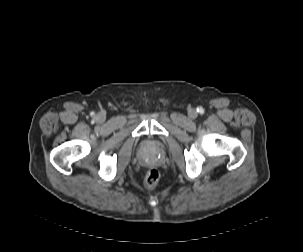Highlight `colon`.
<instances>
[{
  "label": "colon",
  "mask_w": 303,
  "mask_h": 252,
  "mask_svg": "<svg viewBox=\"0 0 303 252\" xmlns=\"http://www.w3.org/2000/svg\"><path fill=\"white\" fill-rule=\"evenodd\" d=\"M160 173L157 169H150L147 171L144 178V186L146 189H153L159 182Z\"/></svg>",
  "instance_id": "colon-1"
}]
</instances>
